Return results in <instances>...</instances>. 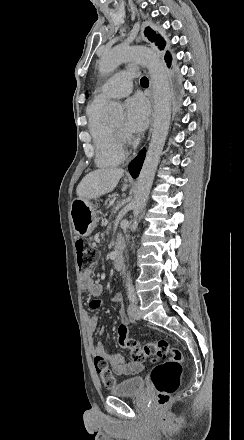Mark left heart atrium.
I'll return each mask as SVG.
<instances>
[{"instance_id": "39dd6f15", "label": "left heart atrium", "mask_w": 244, "mask_h": 440, "mask_svg": "<svg viewBox=\"0 0 244 440\" xmlns=\"http://www.w3.org/2000/svg\"><path fill=\"white\" fill-rule=\"evenodd\" d=\"M149 118V107L141 96H134L126 101V127L133 132L143 131Z\"/></svg>"}]
</instances>
